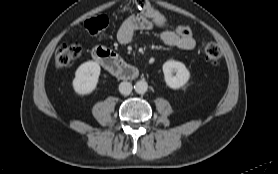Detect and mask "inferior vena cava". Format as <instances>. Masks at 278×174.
Returning a JSON list of instances; mask_svg holds the SVG:
<instances>
[{
	"mask_svg": "<svg viewBox=\"0 0 278 174\" xmlns=\"http://www.w3.org/2000/svg\"><path fill=\"white\" fill-rule=\"evenodd\" d=\"M119 91L123 95H129L132 92V84L130 82H121L119 84Z\"/></svg>",
	"mask_w": 278,
	"mask_h": 174,
	"instance_id": "obj_1",
	"label": "inferior vena cava"
}]
</instances>
